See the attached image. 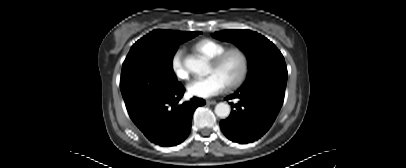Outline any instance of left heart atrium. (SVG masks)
<instances>
[{
    "label": "left heart atrium",
    "mask_w": 406,
    "mask_h": 168,
    "mask_svg": "<svg viewBox=\"0 0 406 168\" xmlns=\"http://www.w3.org/2000/svg\"><path fill=\"white\" fill-rule=\"evenodd\" d=\"M225 88L224 83L215 74L205 78H197L190 81L187 91L191 96L199 98H209L219 94Z\"/></svg>",
    "instance_id": "obj_1"
}]
</instances>
